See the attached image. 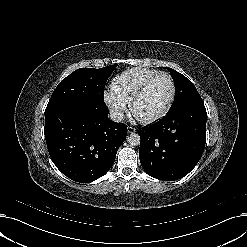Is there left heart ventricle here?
<instances>
[{"label":"left heart ventricle","mask_w":247,"mask_h":247,"mask_svg":"<svg viewBox=\"0 0 247 247\" xmlns=\"http://www.w3.org/2000/svg\"><path fill=\"white\" fill-rule=\"evenodd\" d=\"M170 92V84L161 76L153 81L136 102L135 111L141 116L151 115L162 108Z\"/></svg>","instance_id":"b2bd125f"}]
</instances>
